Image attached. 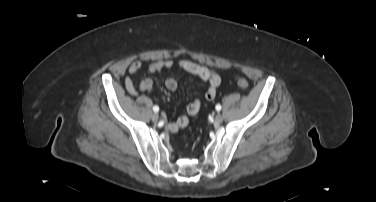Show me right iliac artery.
I'll return each mask as SVG.
<instances>
[{"instance_id": "right-iliac-artery-1", "label": "right iliac artery", "mask_w": 376, "mask_h": 202, "mask_svg": "<svg viewBox=\"0 0 376 202\" xmlns=\"http://www.w3.org/2000/svg\"><path fill=\"white\" fill-rule=\"evenodd\" d=\"M153 111H154V112H158V111H159V107L155 105V106L153 107Z\"/></svg>"}]
</instances>
